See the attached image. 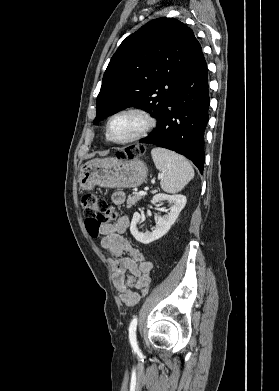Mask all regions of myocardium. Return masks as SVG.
Segmentation results:
<instances>
[{
	"instance_id": "f54148a6",
	"label": "myocardium",
	"mask_w": 279,
	"mask_h": 391,
	"mask_svg": "<svg viewBox=\"0 0 279 391\" xmlns=\"http://www.w3.org/2000/svg\"><path fill=\"white\" fill-rule=\"evenodd\" d=\"M123 114H135L139 116L142 119V126L131 136L124 140H115L110 136V125L111 122L118 116ZM155 126V119L152 117V115L145 109L137 107V106H126L123 107L117 111H115L113 114L110 115L106 122L105 126V135L106 139L113 143L118 145H125L132 142H135L137 140L142 139L145 137Z\"/></svg>"
}]
</instances>
